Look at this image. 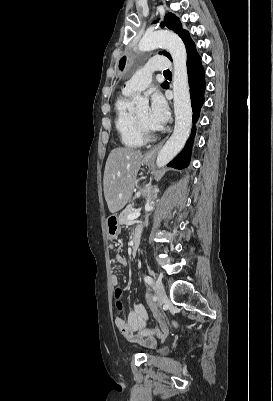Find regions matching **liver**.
I'll use <instances>...</instances> for the list:
<instances>
[{"mask_svg": "<svg viewBox=\"0 0 273 401\" xmlns=\"http://www.w3.org/2000/svg\"><path fill=\"white\" fill-rule=\"evenodd\" d=\"M142 152L135 148H113L105 164L104 194L110 213H117L127 205L133 192Z\"/></svg>", "mask_w": 273, "mask_h": 401, "instance_id": "liver-1", "label": "liver"}]
</instances>
